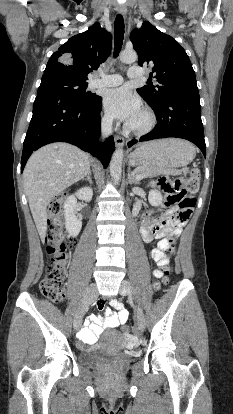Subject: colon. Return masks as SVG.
<instances>
[{
	"instance_id": "colon-1",
	"label": "colon",
	"mask_w": 233,
	"mask_h": 414,
	"mask_svg": "<svg viewBox=\"0 0 233 414\" xmlns=\"http://www.w3.org/2000/svg\"><path fill=\"white\" fill-rule=\"evenodd\" d=\"M200 172L193 168L189 179L186 181L179 178L162 176L158 179L157 185L166 194V205H177L175 216L181 220H187L195 206V194L198 189ZM49 222L45 237L49 264L46 270V277L40 283V290L44 296L54 302H60L65 296L64 280L66 278V262L68 260L69 242L63 232V208L60 198L54 199L48 208ZM175 248V239H168V246L165 251L172 254ZM158 252L154 253L157 257ZM171 270L165 271V281H167ZM155 289L160 287V283L155 281ZM123 332L129 335V327H123Z\"/></svg>"
}]
</instances>
